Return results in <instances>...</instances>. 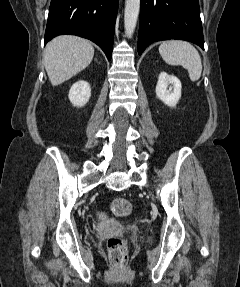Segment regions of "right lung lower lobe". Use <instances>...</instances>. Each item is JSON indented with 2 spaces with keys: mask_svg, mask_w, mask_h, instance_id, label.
Wrapping results in <instances>:
<instances>
[{
  "mask_svg": "<svg viewBox=\"0 0 240 287\" xmlns=\"http://www.w3.org/2000/svg\"><path fill=\"white\" fill-rule=\"evenodd\" d=\"M118 0H51L44 44L73 34L99 45L111 60Z\"/></svg>",
  "mask_w": 240,
  "mask_h": 287,
  "instance_id": "98d812e1",
  "label": "right lung lower lobe"
}]
</instances>
